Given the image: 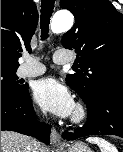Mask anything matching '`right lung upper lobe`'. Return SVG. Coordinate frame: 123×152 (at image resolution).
Here are the masks:
<instances>
[{"label":"right lung upper lobe","instance_id":"right-lung-upper-lobe-1","mask_svg":"<svg viewBox=\"0 0 123 152\" xmlns=\"http://www.w3.org/2000/svg\"><path fill=\"white\" fill-rule=\"evenodd\" d=\"M37 23L32 0H1V67L18 68L20 52L30 48Z\"/></svg>","mask_w":123,"mask_h":152}]
</instances>
